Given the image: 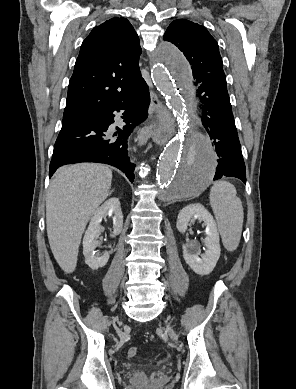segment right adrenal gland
<instances>
[{
    "label": "right adrenal gland",
    "mask_w": 296,
    "mask_h": 389,
    "mask_svg": "<svg viewBox=\"0 0 296 389\" xmlns=\"http://www.w3.org/2000/svg\"><path fill=\"white\" fill-rule=\"evenodd\" d=\"M112 192H114V190H111V191H110V194H111Z\"/></svg>",
    "instance_id": "right-adrenal-gland-1"
}]
</instances>
